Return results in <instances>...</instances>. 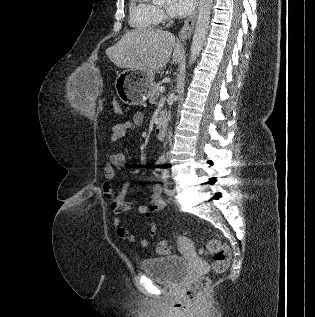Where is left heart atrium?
I'll use <instances>...</instances> for the list:
<instances>
[{
  "instance_id": "obj_1",
  "label": "left heart atrium",
  "mask_w": 315,
  "mask_h": 317,
  "mask_svg": "<svg viewBox=\"0 0 315 317\" xmlns=\"http://www.w3.org/2000/svg\"><path fill=\"white\" fill-rule=\"evenodd\" d=\"M197 0H169L168 10L170 14L178 17L188 15L195 7Z\"/></svg>"
}]
</instances>
